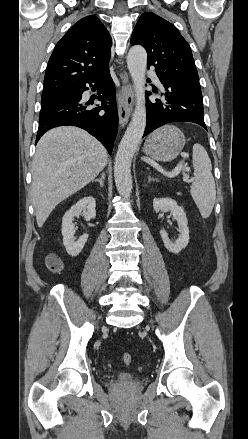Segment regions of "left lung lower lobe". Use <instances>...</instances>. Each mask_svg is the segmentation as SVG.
<instances>
[{
  "mask_svg": "<svg viewBox=\"0 0 248 439\" xmlns=\"http://www.w3.org/2000/svg\"><path fill=\"white\" fill-rule=\"evenodd\" d=\"M163 90L161 98L147 99V122L144 136L171 122H193L206 128L201 90L158 76ZM157 93V89H153ZM151 94L147 92V95Z\"/></svg>",
  "mask_w": 248,
  "mask_h": 439,
  "instance_id": "obj_1",
  "label": "left lung lower lobe"
}]
</instances>
